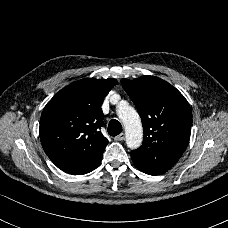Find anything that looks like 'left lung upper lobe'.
<instances>
[{"instance_id":"left-lung-upper-lobe-1","label":"left lung upper lobe","mask_w":228,"mask_h":228,"mask_svg":"<svg viewBox=\"0 0 228 228\" xmlns=\"http://www.w3.org/2000/svg\"><path fill=\"white\" fill-rule=\"evenodd\" d=\"M121 83L141 117L144 139L130 155L133 161L163 170L171 169L189 143L192 111L185 97L155 76Z\"/></svg>"}]
</instances>
